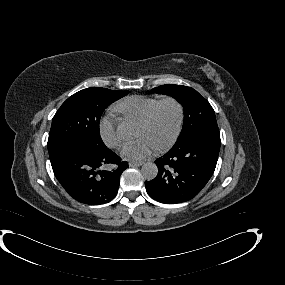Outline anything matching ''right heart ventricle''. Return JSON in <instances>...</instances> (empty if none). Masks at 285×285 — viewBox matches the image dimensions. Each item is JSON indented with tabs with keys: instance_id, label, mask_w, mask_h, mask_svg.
<instances>
[{
	"instance_id": "e07e8e85",
	"label": "right heart ventricle",
	"mask_w": 285,
	"mask_h": 285,
	"mask_svg": "<svg viewBox=\"0 0 285 285\" xmlns=\"http://www.w3.org/2000/svg\"><path fill=\"white\" fill-rule=\"evenodd\" d=\"M160 100L155 97L133 96L125 100L119 110L128 121L143 124L151 117Z\"/></svg>"
}]
</instances>
